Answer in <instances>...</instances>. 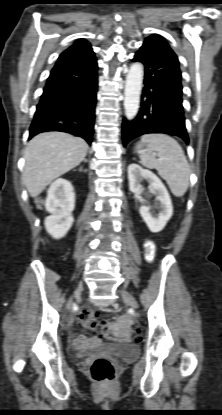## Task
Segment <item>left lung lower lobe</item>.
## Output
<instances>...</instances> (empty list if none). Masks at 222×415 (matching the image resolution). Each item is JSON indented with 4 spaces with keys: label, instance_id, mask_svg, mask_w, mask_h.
<instances>
[{
    "label": "left lung lower lobe",
    "instance_id": "obj_1",
    "mask_svg": "<svg viewBox=\"0 0 222 415\" xmlns=\"http://www.w3.org/2000/svg\"><path fill=\"white\" fill-rule=\"evenodd\" d=\"M133 61L141 62L145 67L144 88L138 115L131 121L123 120V146L148 133L174 135L188 144L181 71L176 54L162 37L150 36Z\"/></svg>",
    "mask_w": 222,
    "mask_h": 415
}]
</instances>
